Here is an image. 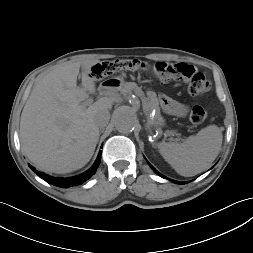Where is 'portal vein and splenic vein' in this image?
<instances>
[{
  "label": "portal vein and splenic vein",
  "mask_w": 253,
  "mask_h": 253,
  "mask_svg": "<svg viewBox=\"0 0 253 253\" xmlns=\"http://www.w3.org/2000/svg\"><path fill=\"white\" fill-rule=\"evenodd\" d=\"M139 96H140V95H139ZM140 97H141V96H140ZM141 100H142V102H143V111H144V113H145L147 116H149V115H148V112H149L148 104L143 100L142 97H141ZM92 102H93V100H92L91 98H90V99H87V100L84 102L83 106H84V107L89 106ZM148 122H149L150 124H153V123H154L153 118H152L151 116H149Z\"/></svg>",
  "instance_id": "obj_1"
}]
</instances>
